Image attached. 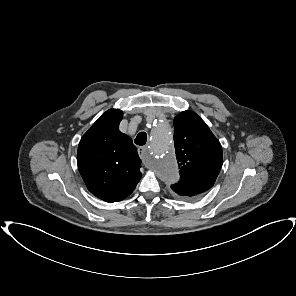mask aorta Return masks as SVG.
Returning a JSON list of instances; mask_svg holds the SVG:
<instances>
[{"mask_svg":"<svg viewBox=\"0 0 296 296\" xmlns=\"http://www.w3.org/2000/svg\"><path fill=\"white\" fill-rule=\"evenodd\" d=\"M173 128L169 120L156 117L151 128V154L157 175L167 183L178 180V166L172 155L171 136Z\"/></svg>","mask_w":296,"mask_h":296,"instance_id":"obj_1","label":"aorta"}]
</instances>
